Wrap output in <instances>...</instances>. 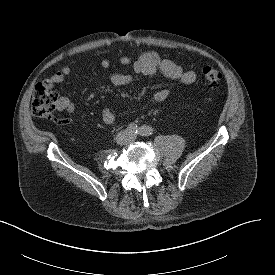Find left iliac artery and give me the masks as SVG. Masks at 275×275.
<instances>
[{"label":"left iliac artery","mask_w":275,"mask_h":275,"mask_svg":"<svg viewBox=\"0 0 275 275\" xmlns=\"http://www.w3.org/2000/svg\"><path fill=\"white\" fill-rule=\"evenodd\" d=\"M138 134L141 136H150L153 134V128L150 126L143 125L138 128Z\"/></svg>","instance_id":"1"}]
</instances>
